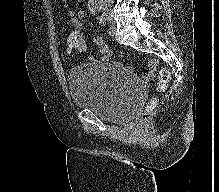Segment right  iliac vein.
Instances as JSON below:
<instances>
[{"label":"right iliac vein","instance_id":"right-iliac-vein-1","mask_svg":"<svg viewBox=\"0 0 219 192\" xmlns=\"http://www.w3.org/2000/svg\"><path fill=\"white\" fill-rule=\"evenodd\" d=\"M102 15L105 17V18H107L108 20H112V18H111V13H110V10H109V8H107V7H105V8H103L102 9Z\"/></svg>","mask_w":219,"mask_h":192}]
</instances>
